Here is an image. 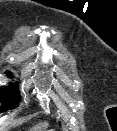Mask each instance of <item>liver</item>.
Returning <instances> with one entry per match:
<instances>
[{
    "label": "liver",
    "mask_w": 117,
    "mask_h": 131,
    "mask_svg": "<svg viewBox=\"0 0 117 131\" xmlns=\"http://www.w3.org/2000/svg\"><path fill=\"white\" fill-rule=\"evenodd\" d=\"M48 124L47 123H43V124H39L36 127H34V131H44L47 128Z\"/></svg>",
    "instance_id": "liver-1"
}]
</instances>
